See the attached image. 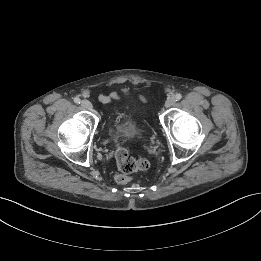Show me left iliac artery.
Returning <instances> with one entry per match:
<instances>
[{
  "mask_svg": "<svg viewBox=\"0 0 261 261\" xmlns=\"http://www.w3.org/2000/svg\"><path fill=\"white\" fill-rule=\"evenodd\" d=\"M181 98H182V95H181L180 93H177V94L175 95V100H176V101H179Z\"/></svg>",
  "mask_w": 261,
  "mask_h": 261,
  "instance_id": "left-iliac-artery-1",
  "label": "left iliac artery"
}]
</instances>
